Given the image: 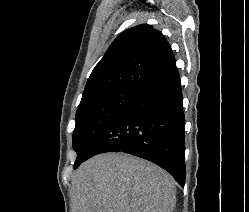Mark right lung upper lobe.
I'll return each instance as SVG.
<instances>
[{
    "instance_id": "obj_1",
    "label": "right lung upper lobe",
    "mask_w": 249,
    "mask_h": 212,
    "mask_svg": "<svg viewBox=\"0 0 249 212\" xmlns=\"http://www.w3.org/2000/svg\"><path fill=\"white\" fill-rule=\"evenodd\" d=\"M177 71L163 34L141 24L122 32L92 71L81 102L115 91L140 93Z\"/></svg>"
}]
</instances>
